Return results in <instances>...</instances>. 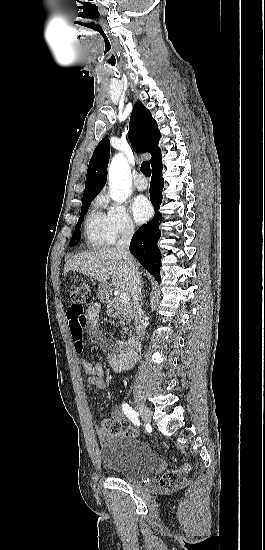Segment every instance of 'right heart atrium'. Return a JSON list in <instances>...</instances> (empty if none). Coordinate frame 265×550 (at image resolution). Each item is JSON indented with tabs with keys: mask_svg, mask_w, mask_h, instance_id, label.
Returning <instances> with one entry per match:
<instances>
[{
	"mask_svg": "<svg viewBox=\"0 0 265 550\" xmlns=\"http://www.w3.org/2000/svg\"><path fill=\"white\" fill-rule=\"evenodd\" d=\"M99 202L106 208V227L112 242L118 238L131 237L135 225L127 208L121 203L110 202L105 195L99 198Z\"/></svg>",
	"mask_w": 265,
	"mask_h": 550,
	"instance_id": "1",
	"label": "right heart atrium"
}]
</instances>
